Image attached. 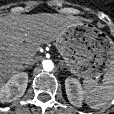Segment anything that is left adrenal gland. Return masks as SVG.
Here are the masks:
<instances>
[{"label":"left adrenal gland","instance_id":"left-adrenal-gland-1","mask_svg":"<svg viewBox=\"0 0 114 114\" xmlns=\"http://www.w3.org/2000/svg\"><path fill=\"white\" fill-rule=\"evenodd\" d=\"M60 64H61L60 69H64L65 66H64V64H63V61H61Z\"/></svg>","mask_w":114,"mask_h":114}]
</instances>
